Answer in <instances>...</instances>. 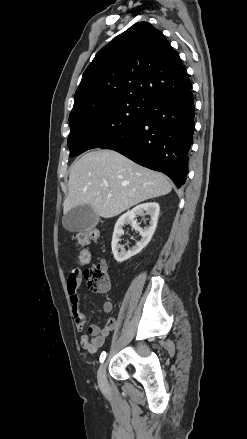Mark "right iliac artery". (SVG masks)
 <instances>
[{
    "instance_id": "1",
    "label": "right iliac artery",
    "mask_w": 247,
    "mask_h": 439,
    "mask_svg": "<svg viewBox=\"0 0 247 439\" xmlns=\"http://www.w3.org/2000/svg\"><path fill=\"white\" fill-rule=\"evenodd\" d=\"M105 357H106V352L103 351V352L100 354V362H101V363L105 360Z\"/></svg>"
}]
</instances>
